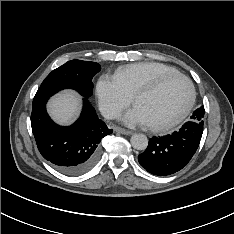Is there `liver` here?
<instances>
[{"instance_id": "liver-1", "label": "liver", "mask_w": 234, "mask_h": 234, "mask_svg": "<svg viewBox=\"0 0 234 234\" xmlns=\"http://www.w3.org/2000/svg\"><path fill=\"white\" fill-rule=\"evenodd\" d=\"M80 111V99L77 94L65 91L53 97L48 104L50 116L59 124L68 125L75 120Z\"/></svg>"}]
</instances>
